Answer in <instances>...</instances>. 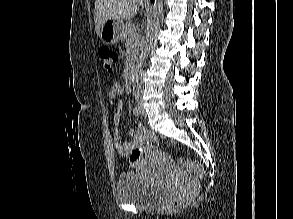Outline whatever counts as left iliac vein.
Listing matches in <instances>:
<instances>
[{"label":"left iliac vein","instance_id":"4c4485c4","mask_svg":"<svg viewBox=\"0 0 293 219\" xmlns=\"http://www.w3.org/2000/svg\"><path fill=\"white\" fill-rule=\"evenodd\" d=\"M139 107H140V109H141V114H142L144 117H146V116H147V113H146V110H145L144 107H143V104H142V101H141V100L139 101Z\"/></svg>","mask_w":293,"mask_h":219}]
</instances>
